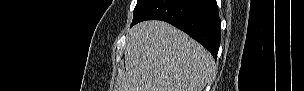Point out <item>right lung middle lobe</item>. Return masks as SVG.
<instances>
[{
	"label": "right lung middle lobe",
	"mask_w": 304,
	"mask_h": 91,
	"mask_svg": "<svg viewBox=\"0 0 304 91\" xmlns=\"http://www.w3.org/2000/svg\"><path fill=\"white\" fill-rule=\"evenodd\" d=\"M150 2V0H138L136 7L134 9V16H133V20L136 19L140 12L142 11V9Z\"/></svg>",
	"instance_id": "1"
}]
</instances>
